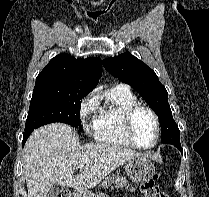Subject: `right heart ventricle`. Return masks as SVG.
<instances>
[{
	"instance_id": "e07e8e85",
	"label": "right heart ventricle",
	"mask_w": 209,
	"mask_h": 197,
	"mask_svg": "<svg viewBox=\"0 0 209 197\" xmlns=\"http://www.w3.org/2000/svg\"><path fill=\"white\" fill-rule=\"evenodd\" d=\"M136 102V96L126 85L109 89L99 104L92 125L96 140L115 146H131L124 133L123 119L125 111Z\"/></svg>"
}]
</instances>
